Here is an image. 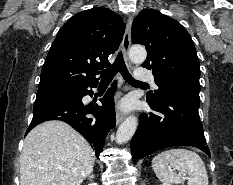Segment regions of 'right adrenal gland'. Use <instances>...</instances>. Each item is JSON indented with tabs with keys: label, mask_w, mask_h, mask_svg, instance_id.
Returning a JSON list of instances; mask_svg holds the SVG:
<instances>
[{
	"label": "right adrenal gland",
	"mask_w": 233,
	"mask_h": 185,
	"mask_svg": "<svg viewBox=\"0 0 233 185\" xmlns=\"http://www.w3.org/2000/svg\"><path fill=\"white\" fill-rule=\"evenodd\" d=\"M88 178L91 180L94 178V175H90Z\"/></svg>",
	"instance_id": "obj_1"
}]
</instances>
